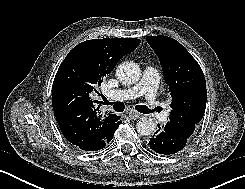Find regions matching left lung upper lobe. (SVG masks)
I'll use <instances>...</instances> for the list:
<instances>
[{
    "label": "left lung upper lobe",
    "instance_id": "1",
    "mask_svg": "<svg viewBox=\"0 0 245 189\" xmlns=\"http://www.w3.org/2000/svg\"><path fill=\"white\" fill-rule=\"evenodd\" d=\"M147 42L158 56L172 96L170 121L165 127L175 138L190 139L206 108V81L193 56L167 36H148Z\"/></svg>",
    "mask_w": 245,
    "mask_h": 189
}]
</instances>
